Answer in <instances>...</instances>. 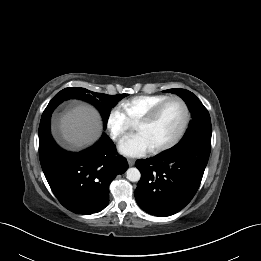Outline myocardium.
I'll return each instance as SVG.
<instances>
[{"instance_id":"f54148a6","label":"myocardium","mask_w":261,"mask_h":261,"mask_svg":"<svg viewBox=\"0 0 261 261\" xmlns=\"http://www.w3.org/2000/svg\"><path fill=\"white\" fill-rule=\"evenodd\" d=\"M178 103L183 110V121L182 125L177 132V134L168 142H166L163 145L151 148L152 153H160L166 150L171 149L174 147L185 135V133L188 130L190 120H191V113L190 109L187 105V103L179 96H171L156 105L153 109H151L144 117H142L137 123L136 127L139 125H146V124H151L153 123L157 117L160 115V113L163 111V109L169 105L170 103Z\"/></svg>"}]
</instances>
